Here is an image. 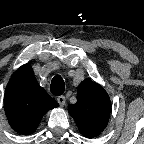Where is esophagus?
Returning <instances> with one entry per match:
<instances>
[{
    "label": "esophagus",
    "instance_id": "esophagus-1",
    "mask_svg": "<svg viewBox=\"0 0 144 144\" xmlns=\"http://www.w3.org/2000/svg\"><path fill=\"white\" fill-rule=\"evenodd\" d=\"M58 103L60 104L61 107H63L65 105L66 99L64 96H59L57 98Z\"/></svg>",
    "mask_w": 144,
    "mask_h": 144
}]
</instances>
